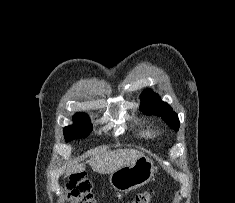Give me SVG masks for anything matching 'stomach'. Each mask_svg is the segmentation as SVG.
I'll list each match as a JSON object with an SVG mask.
<instances>
[{"mask_svg": "<svg viewBox=\"0 0 235 203\" xmlns=\"http://www.w3.org/2000/svg\"><path fill=\"white\" fill-rule=\"evenodd\" d=\"M154 172L155 167L152 160L142 155L133 164L112 172L109 181L115 190L129 192L149 182Z\"/></svg>", "mask_w": 235, "mask_h": 203, "instance_id": "obj_1", "label": "stomach"}]
</instances>
